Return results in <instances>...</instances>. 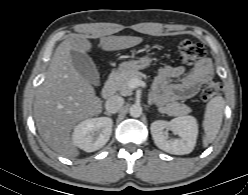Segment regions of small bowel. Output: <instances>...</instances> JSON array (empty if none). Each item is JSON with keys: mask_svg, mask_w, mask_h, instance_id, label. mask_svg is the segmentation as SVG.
<instances>
[{"mask_svg": "<svg viewBox=\"0 0 248 195\" xmlns=\"http://www.w3.org/2000/svg\"><path fill=\"white\" fill-rule=\"evenodd\" d=\"M213 76V65L209 59L198 61L186 73L183 66H166L158 71L152 91V99L158 105L193 97L200 85ZM177 80L176 82H173Z\"/></svg>", "mask_w": 248, "mask_h": 195, "instance_id": "1", "label": "small bowel"}]
</instances>
